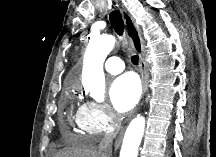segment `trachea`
I'll return each mask as SVG.
<instances>
[{
  "label": "trachea",
  "mask_w": 216,
  "mask_h": 157,
  "mask_svg": "<svg viewBox=\"0 0 216 157\" xmlns=\"http://www.w3.org/2000/svg\"><path fill=\"white\" fill-rule=\"evenodd\" d=\"M109 20H110V23H111L112 27L114 28L115 32L119 36H122L124 33V21L122 19L121 13L118 10L112 11L109 15ZM132 31H133V36H132L133 40L136 42V44L138 46H140V39H139L138 33L134 27L132 28ZM138 60H139V57L137 55H134L131 57V62L134 65H138Z\"/></svg>",
  "instance_id": "1"
}]
</instances>
